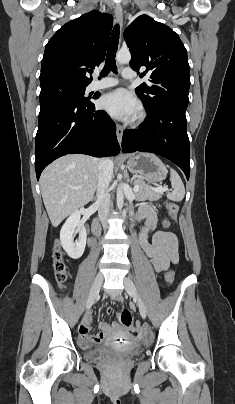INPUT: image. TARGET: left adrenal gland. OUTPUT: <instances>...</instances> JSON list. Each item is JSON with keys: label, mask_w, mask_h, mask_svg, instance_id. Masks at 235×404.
<instances>
[{"label": "left adrenal gland", "mask_w": 235, "mask_h": 404, "mask_svg": "<svg viewBox=\"0 0 235 404\" xmlns=\"http://www.w3.org/2000/svg\"><path fill=\"white\" fill-rule=\"evenodd\" d=\"M127 178H128V182H130L129 175H127Z\"/></svg>", "instance_id": "obj_1"}]
</instances>
